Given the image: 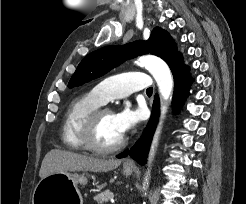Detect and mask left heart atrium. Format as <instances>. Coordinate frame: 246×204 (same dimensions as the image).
Returning <instances> with one entry per match:
<instances>
[{
    "mask_svg": "<svg viewBox=\"0 0 246 204\" xmlns=\"http://www.w3.org/2000/svg\"><path fill=\"white\" fill-rule=\"evenodd\" d=\"M142 119L143 111L141 109L125 107L120 112L114 114L115 123L122 134L132 130Z\"/></svg>",
    "mask_w": 246,
    "mask_h": 204,
    "instance_id": "left-heart-atrium-1",
    "label": "left heart atrium"
}]
</instances>
